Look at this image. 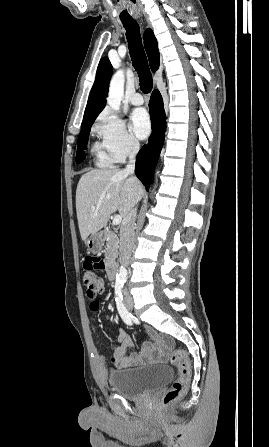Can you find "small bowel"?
<instances>
[{"mask_svg": "<svg viewBox=\"0 0 269 447\" xmlns=\"http://www.w3.org/2000/svg\"><path fill=\"white\" fill-rule=\"evenodd\" d=\"M147 331L155 340V343H146L142 345L139 351L134 352L132 341L127 337L122 328L118 329L119 345L116 347L114 355L118 368L133 367L144 361L164 362L167 360V348L163 345L161 338L164 340L169 339V332H162L160 337V334H157L152 328H148Z\"/></svg>", "mask_w": 269, "mask_h": 447, "instance_id": "small-bowel-1", "label": "small bowel"}]
</instances>
